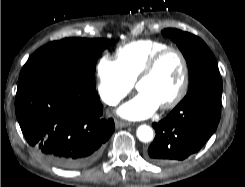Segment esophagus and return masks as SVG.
<instances>
[{
    "mask_svg": "<svg viewBox=\"0 0 245 187\" xmlns=\"http://www.w3.org/2000/svg\"><path fill=\"white\" fill-rule=\"evenodd\" d=\"M130 124L127 123V122H123V121H120V120H116L115 121V126L116 128H124V127H127L129 126Z\"/></svg>",
    "mask_w": 245,
    "mask_h": 187,
    "instance_id": "obj_1",
    "label": "esophagus"
}]
</instances>
